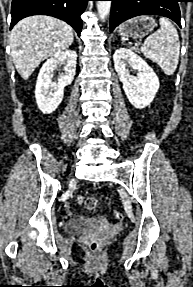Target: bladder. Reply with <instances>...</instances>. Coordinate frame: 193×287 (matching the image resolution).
Returning <instances> with one entry per match:
<instances>
[{
    "label": "bladder",
    "mask_w": 193,
    "mask_h": 287,
    "mask_svg": "<svg viewBox=\"0 0 193 287\" xmlns=\"http://www.w3.org/2000/svg\"><path fill=\"white\" fill-rule=\"evenodd\" d=\"M92 225V220L81 215H72L67 219L65 229L69 233H77L91 227Z\"/></svg>",
    "instance_id": "31cf9c89"
}]
</instances>
